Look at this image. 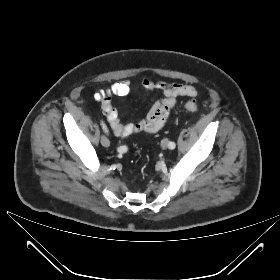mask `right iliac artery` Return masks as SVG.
<instances>
[{"label":"right iliac artery","mask_w":280,"mask_h":280,"mask_svg":"<svg viewBox=\"0 0 280 280\" xmlns=\"http://www.w3.org/2000/svg\"><path fill=\"white\" fill-rule=\"evenodd\" d=\"M100 124H101L102 129L104 130V132L108 134V128H107L105 122H104V121H101ZM125 149H126L125 146H120V147L118 148V151H124Z\"/></svg>","instance_id":"1"}]
</instances>
